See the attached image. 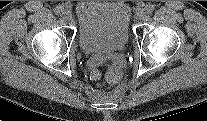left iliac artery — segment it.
I'll return each mask as SVG.
<instances>
[{"instance_id": "obj_1", "label": "left iliac artery", "mask_w": 207, "mask_h": 121, "mask_svg": "<svg viewBox=\"0 0 207 121\" xmlns=\"http://www.w3.org/2000/svg\"><path fill=\"white\" fill-rule=\"evenodd\" d=\"M155 7L152 4H149L145 7V11L147 14H151L154 11Z\"/></svg>"}]
</instances>
